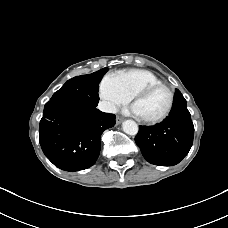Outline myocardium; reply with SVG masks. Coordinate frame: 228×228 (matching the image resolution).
<instances>
[{
    "mask_svg": "<svg viewBox=\"0 0 228 228\" xmlns=\"http://www.w3.org/2000/svg\"><path fill=\"white\" fill-rule=\"evenodd\" d=\"M159 88H165L169 92L170 101H169L168 107L161 115H159L158 117H155V118H143V117L139 116L140 120L145 124H149V125L157 124V123L162 122L169 116V114L171 113L173 106H174V101H175L174 92L166 84L155 83V84H150V85L143 87L142 89L137 91L135 93V95L133 96V105L135 106V104L137 103L138 100L146 97L151 92H153L154 90L159 89Z\"/></svg>",
    "mask_w": 228,
    "mask_h": 228,
    "instance_id": "1",
    "label": "myocardium"
}]
</instances>
